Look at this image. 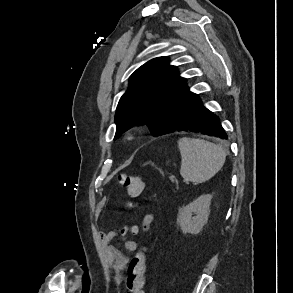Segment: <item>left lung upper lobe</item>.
Segmentation results:
<instances>
[{"label": "left lung upper lobe", "instance_id": "left-lung-upper-lobe-1", "mask_svg": "<svg viewBox=\"0 0 293 293\" xmlns=\"http://www.w3.org/2000/svg\"><path fill=\"white\" fill-rule=\"evenodd\" d=\"M197 99L167 57L154 58L131 75L129 88L117 106L114 139L143 124L153 136L171 133L186 107Z\"/></svg>", "mask_w": 293, "mask_h": 293}]
</instances>
